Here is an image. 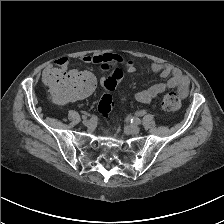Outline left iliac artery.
<instances>
[{
    "mask_svg": "<svg viewBox=\"0 0 224 224\" xmlns=\"http://www.w3.org/2000/svg\"><path fill=\"white\" fill-rule=\"evenodd\" d=\"M131 122H132L133 124H136V125L141 124V120H140L139 118H136V117H133V118L131 119Z\"/></svg>",
    "mask_w": 224,
    "mask_h": 224,
    "instance_id": "1",
    "label": "left iliac artery"
}]
</instances>
